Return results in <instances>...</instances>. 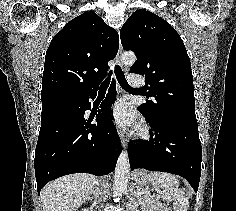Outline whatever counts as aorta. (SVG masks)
<instances>
[{"label": "aorta", "mask_w": 236, "mask_h": 211, "mask_svg": "<svg viewBox=\"0 0 236 211\" xmlns=\"http://www.w3.org/2000/svg\"><path fill=\"white\" fill-rule=\"evenodd\" d=\"M136 55L133 52H124L121 56V62L126 66H132L136 61ZM130 174V163L127 151L120 154L114 174V197L118 200L125 191Z\"/></svg>", "instance_id": "obj_1"}]
</instances>
